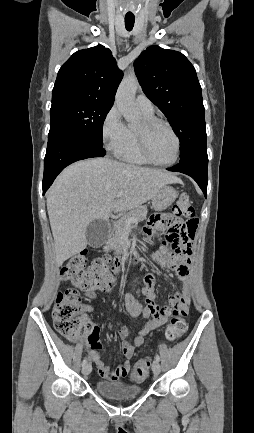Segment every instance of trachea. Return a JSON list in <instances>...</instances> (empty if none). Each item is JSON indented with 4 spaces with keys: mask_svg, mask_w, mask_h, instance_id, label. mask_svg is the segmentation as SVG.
I'll list each match as a JSON object with an SVG mask.
<instances>
[{
    "mask_svg": "<svg viewBox=\"0 0 254 433\" xmlns=\"http://www.w3.org/2000/svg\"><path fill=\"white\" fill-rule=\"evenodd\" d=\"M135 19L134 18H125V27L127 31H131L134 26Z\"/></svg>",
    "mask_w": 254,
    "mask_h": 433,
    "instance_id": "1",
    "label": "trachea"
}]
</instances>
